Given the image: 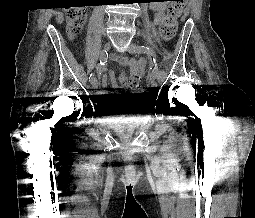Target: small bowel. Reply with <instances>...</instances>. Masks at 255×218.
Returning a JSON list of instances; mask_svg holds the SVG:
<instances>
[{
	"label": "small bowel",
	"mask_w": 255,
	"mask_h": 218,
	"mask_svg": "<svg viewBox=\"0 0 255 218\" xmlns=\"http://www.w3.org/2000/svg\"><path fill=\"white\" fill-rule=\"evenodd\" d=\"M163 2L164 0H156L150 4V10L154 11L155 13L153 21L155 25L159 24L164 18L165 4ZM113 59L121 66L128 67L130 69V76L126 77V75L122 73L120 75L119 82L115 80L114 71H110L111 85L114 89L132 88L136 86L143 78L146 66V61L144 59L135 60L118 55L113 56ZM102 85L103 87H107L108 85L106 76H103ZM99 96L104 98V100L101 102L102 106L107 105L112 97V95L108 92H101Z\"/></svg>",
	"instance_id": "small-bowel-1"
}]
</instances>
